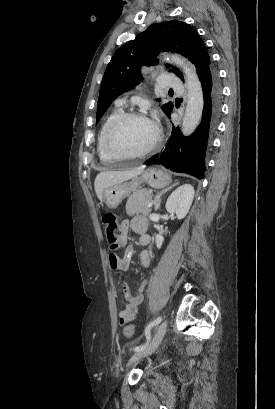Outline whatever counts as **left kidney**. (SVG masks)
I'll return each mask as SVG.
<instances>
[{
	"label": "left kidney",
	"instance_id": "5707ae66",
	"mask_svg": "<svg viewBox=\"0 0 275 409\" xmlns=\"http://www.w3.org/2000/svg\"><path fill=\"white\" fill-rule=\"evenodd\" d=\"M194 188L192 184H182L176 190H173L166 202V211L168 213H175L177 219H184L186 217L194 196ZM164 237L156 235V247L161 249Z\"/></svg>",
	"mask_w": 275,
	"mask_h": 409
}]
</instances>
